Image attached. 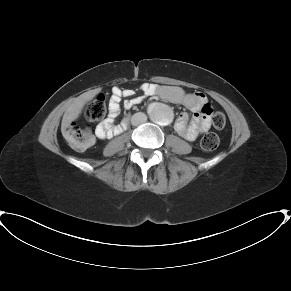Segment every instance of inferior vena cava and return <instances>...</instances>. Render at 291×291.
<instances>
[{
    "label": "inferior vena cava",
    "mask_w": 291,
    "mask_h": 291,
    "mask_svg": "<svg viewBox=\"0 0 291 291\" xmlns=\"http://www.w3.org/2000/svg\"><path fill=\"white\" fill-rule=\"evenodd\" d=\"M147 121V116L146 114L142 112L135 113L132 118H131V123L134 126L141 125Z\"/></svg>",
    "instance_id": "obj_1"
}]
</instances>
